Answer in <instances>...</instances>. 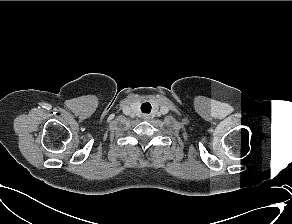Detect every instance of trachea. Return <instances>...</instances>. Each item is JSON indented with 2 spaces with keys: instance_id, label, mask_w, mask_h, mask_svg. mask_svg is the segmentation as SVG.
<instances>
[{
  "instance_id": "obj_1",
  "label": "trachea",
  "mask_w": 292,
  "mask_h": 224,
  "mask_svg": "<svg viewBox=\"0 0 292 224\" xmlns=\"http://www.w3.org/2000/svg\"><path fill=\"white\" fill-rule=\"evenodd\" d=\"M141 110H142L143 113H150L151 105L149 103H143L141 105Z\"/></svg>"
}]
</instances>
